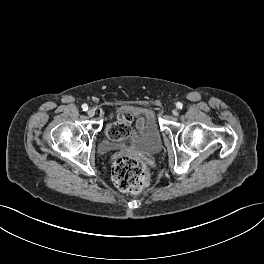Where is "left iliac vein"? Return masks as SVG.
<instances>
[{"mask_svg":"<svg viewBox=\"0 0 264 264\" xmlns=\"http://www.w3.org/2000/svg\"><path fill=\"white\" fill-rule=\"evenodd\" d=\"M172 114H173L174 116H178V115H179V111H178L177 109H174V110L172 111Z\"/></svg>","mask_w":264,"mask_h":264,"instance_id":"obj_1","label":"left iliac vein"}]
</instances>
